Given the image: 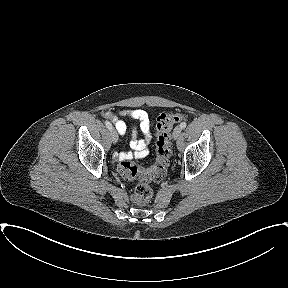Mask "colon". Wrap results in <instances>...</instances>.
<instances>
[{
  "label": "colon",
  "instance_id": "1",
  "mask_svg": "<svg viewBox=\"0 0 288 288\" xmlns=\"http://www.w3.org/2000/svg\"><path fill=\"white\" fill-rule=\"evenodd\" d=\"M182 113H163L158 117L156 126V159L154 164L144 167L131 159H123L118 171L127 181L137 180L131 200L138 205L146 204L152 197L151 182H159L166 176L171 154L170 134L172 128L182 121Z\"/></svg>",
  "mask_w": 288,
  "mask_h": 288
}]
</instances>
